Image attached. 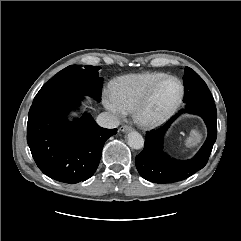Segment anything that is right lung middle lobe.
I'll list each match as a JSON object with an SVG mask.
<instances>
[{"label":"right lung middle lobe","instance_id":"obj_1","mask_svg":"<svg viewBox=\"0 0 241 241\" xmlns=\"http://www.w3.org/2000/svg\"><path fill=\"white\" fill-rule=\"evenodd\" d=\"M99 66L87 65L81 68L71 65L58 72L46 82L34 98L32 105L71 96L88 95L101 100L102 78Z\"/></svg>","mask_w":241,"mask_h":241}]
</instances>
